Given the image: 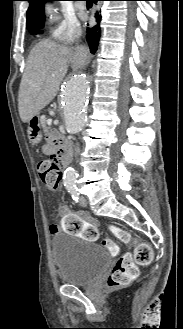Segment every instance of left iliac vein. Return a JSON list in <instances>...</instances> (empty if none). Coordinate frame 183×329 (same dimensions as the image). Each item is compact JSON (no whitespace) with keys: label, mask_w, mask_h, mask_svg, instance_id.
Returning a JSON list of instances; mask_svg holds the SVG:
<instances>
[{"label":"left iliac vein","mask_w":183,"mask_h":329,"mask_svg":"<svg viewBox=\"0 0 183 329\" xmlns=\"http://www.w3.org/2000/svg\"><path fill=\"white\" fill-rule=\"evenodd\" d=\"M79 203L82 207H86L87 206V200L85 197L81 196L79 199Z\"/></svg>","instance_id":"1"}]
</instances>
